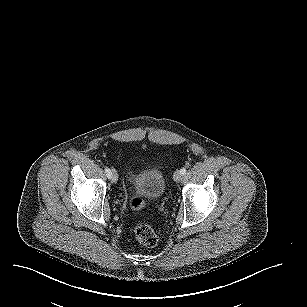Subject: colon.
<instances>
[{"mask_svg":"<svg viewBox=\"0 0 307 307\" xmlns=\"http://www.w3.org/2000/svg\"><path fill=\"white\" fill-rule=\"evenodd\" d=\"M131 175H129L130 177ZM145 206V201L142 197L135 196L131 199V207L134 210H141ZM135 238L144 246L153 247L158 242V236L155 229L150 223L139 222L134 228Z\"/></svg>","mask_w":307,"mask_h":307,"instance_id":"5ec220e1","label":"colon"}]
</instances>
